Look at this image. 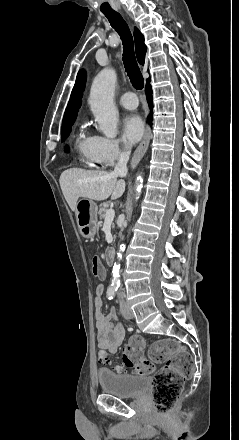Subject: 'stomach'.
Here are the masks:
<instances>
[{"label":"stomach","mask_w":239,"mask_h":440,"mask_svg":"<svg viewBox=\"0 0 239 440\" xmlns=\"http://www.w3.org/2000/svg\"><path fill=\"white\" fill-rule=\"evenodd\" d=\"M98 206L89 198L79 200L76 206V222L83 238H94L97 232Z\"/></svg>","instance_id":"obj_1"}]
</instances>
